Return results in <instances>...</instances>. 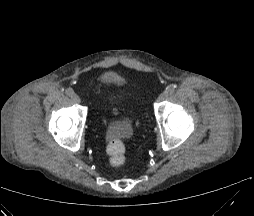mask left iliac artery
I'll use <instances>...</instances> for the list:
<instances>
[{"mask_svg": "<svg viewBox=\"0 0 254 216\" xmlns=\"http://www.w3.org/2000/svg\"><path fill=\"white\" fill-rule=\"evenodd\" d=\"M175 89H176V86L175 85H169L167 88H166V93L171 95L175 92Z\"/></svg>", "mask_w": 254, "mask_h": 216, "instance_id": "44dca946", "label": "left iliac artery"}]
</instances>
